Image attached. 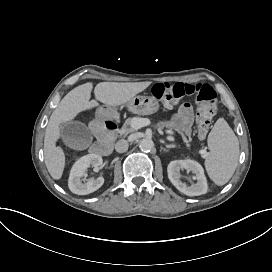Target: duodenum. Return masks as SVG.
<instances>
[{
    "label": "duodenum",
    "instance_id": "obj_1",
    "mask_svg": "<svg viewBox=\"0 0 272 272\" xmlns=\"http://www.w3.org/2000/svg\"><path fill=\"white\" fill-rule=\"evenodd\" d=\"M92 130L97 140L92 145L91 152L97 155H108L112 150V143L117 133V124L99 114L92 125Z\"/></svg>",
    "mask_w": 272,
    "mask_h": 272
}]
</instances>
